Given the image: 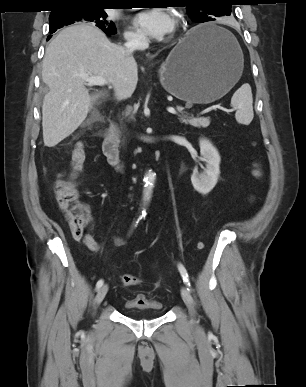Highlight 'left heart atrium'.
<instances>
[{
  "label": "left heart atrium",
  "instance_id": "obj_1",
  "mask_svg": "<svg viewBox=\"0 0 306 387\" xmlns=\"http://www.w3.org/2000/svg\"><path fill=\"white\" fill-rule=\"evenodd\" d=\"M135 27L151 38H163L174 27L172 17L163 9L154 8L139 13L134 19Z\"/></svg>",
  "mask_w": 306,
  "mask_h": 387
}]
</instances>
